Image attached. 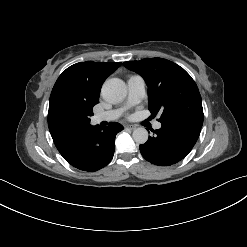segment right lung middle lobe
Masks as SVG:
<instances>
[{
    "mask_svg": "<svg viewBox=\"0 0 247 247\" xmlns=\"http://www.w3.org/2000/svg\"><path fill=\"white\" fill-rule=\"evenodd\" d=\"M94 105L84 103L63 102L54 110L50 125L64 134H77L90 124Z\"/></svg>",
    "mask_w": 247,
    "mask_h": 247,
    "instance_id": "dd1d6c3e",
    "label": "right lung middle lobe"
}]
</instances>
